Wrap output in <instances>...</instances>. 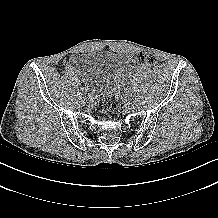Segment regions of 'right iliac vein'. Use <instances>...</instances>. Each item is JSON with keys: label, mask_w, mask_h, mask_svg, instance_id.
Here are the masks:
<instances>
[{"label": "right iliac vein", "mask_w": 218, "mask_h": 218, "mask_svg": "<svg viewBox=\"0 0 218 218\" xmlns=\"http://www.w3.org/2000/svg\"><path fill=\"white\" fill-rule=\"evenodd\" d=\"M81 94H82V95H85V94H86V90H85L84 88L81 90Z\"/></svg>", "instance_id": "right-iliac-vein-1"}]
</instances>
